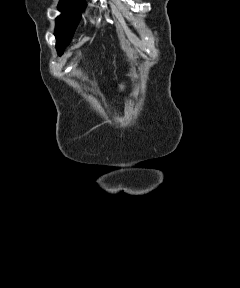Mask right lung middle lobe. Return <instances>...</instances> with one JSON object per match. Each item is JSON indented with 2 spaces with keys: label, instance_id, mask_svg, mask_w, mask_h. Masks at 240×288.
<instances>
[{
  "label": "right lung middle lobe",
  "instance_id": "dd1d6c3e",
  "mask_svg": "<svg viewBox=\"0 0 240 288\" xmlns=\"http://www.w3.org/2000/svg\"><path fill=\"white\" fill-rule=\"evenodd\" d=\"M84 0H61L58 9L61 15L56 18L55 37L57 39L56 49L61 55L69 44L74 30L76 29L83 10Z\"/></svg>",
  "mask_w": 240,
  "mask_h": 288
}]
</instances>
